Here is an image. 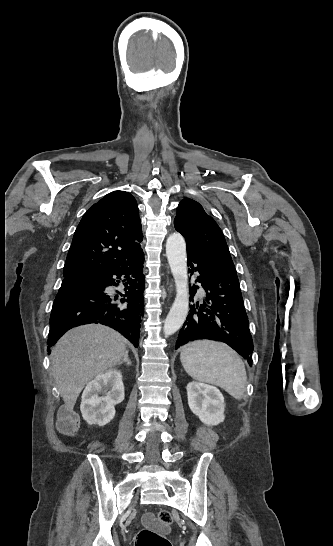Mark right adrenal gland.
Returning <instances> with one entry per match:
<instances>
[{
	"mask_svg": "<svg viewBox=\"0 0 333 546\" xmlns=\"http://www.w3.org/2000/svg\"><path fill=\"white\" fill-rule=\"evenodd\" d=\"M124 362H126L128 366L131 365V361H130L129 358H128V350L125 351L124 358L118 363V365H121V364H123Z\"/></svg>",
	"mask_w": 333,
	"mask_h": 546,
	"instance_id": "1",
	"label": "right adrenal gland"
}]
</instances>
